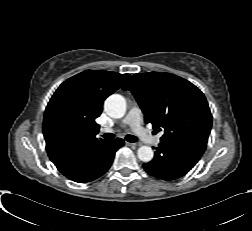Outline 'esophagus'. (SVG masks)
<instances>
[{"label": "esophagus", "mask_w": 252, "mask_h": 231, "mask_svg": "<svg viewBox=\"0 0 252 231\" xmlns=\"http://www.w3.org/2000/svg\"><path fill=\"white\" fill-rule=\"evenodd\" d=\"M126 145H127V146H131V147H136V146H138L139 144H138V143L126 142Z\"/></svg>", "instance_id": "obj_1"}]
</instances>
